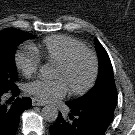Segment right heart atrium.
I'll use <instances>...</instances> for the list:
<instances>
[{"label": "right heart atrium", "instance_id": "1", "mask_svg": "<svg viewBox=\"0 0 135 135\" xmlns=\"http://www.w3.org/2000/svg\"><path fill=\"white\" fill-rule=\"evenodd\" d=\"M15 64L25 77H31L38 71L41 58L35 51H18L15 54Z\"/></svg>", "mask_w": 135, "mask_h": 135}]
</instances>
